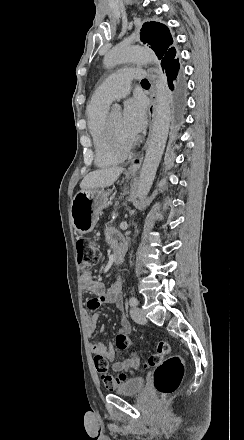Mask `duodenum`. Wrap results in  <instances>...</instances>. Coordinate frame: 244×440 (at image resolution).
I'll return each instance as SVG.
<instances>
[{
  "label": "duodenum",
  "instance_id": "410a0bca",
  "mask_svg": "<svg viewBox=\"0 0 244 440\" xmlns=\"http://www.w3.org/2000/svg\"><path fill=\"white\" fill-rule=\"evenodd\" d=\"M114 253H115V264L120 266L122 264L125 255V247L123 245L122 240L118 243L116 247H114Z\"/></svg>",
  "mask_w": 244,
  "mask_h": 440
}]
</instances>
